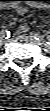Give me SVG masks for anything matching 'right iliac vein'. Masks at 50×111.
Masks as SVG:
<instances>
[{
	"mask_svg": "<svg viewBox=\"0 0 50 111\" xmlns=\"http://www.w3.org/2000/svg\"><path fill=\"white\" fill-rule=\"evenodd\" d=\"M0 41H1L2 43H5V42L7 41V38L2 34V32H1Z\"/></svg>",
	"mask_w": 50,
	"mask_h": 111,
	"instance_id": "1",
	"label": "right iliac vein"
}]
</instances>
